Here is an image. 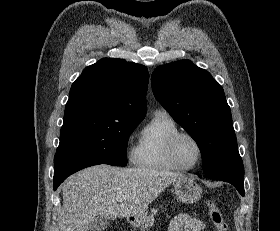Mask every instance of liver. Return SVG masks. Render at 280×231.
Segmentation results:
<instances>
[{"instance_id": "1", "label": "liver", "mask_w": 280, "mask_h": 231, "mask_svg": "<svg viewBox=\"0 0 280 231\" xmlns=\"http://www.w3.org/2000/svg\"><path fill=\"white\" fill-rule=\"evenodd\" d=\"M176 177L184 175L148 167L93 165L81 169L62 183L63 207L55 229L87 231L88 223L95 217H135L144 221L146 207Z\"/></svg>"}]
</instances>
